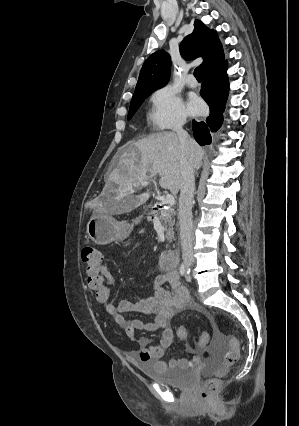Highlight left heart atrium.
Listing matches in <instances>:
<instances>
[{
	"label": "left heart atrium",
	"mask_w": 299,
	"mask_h": 426,
	"mask_svg": "<svg viewBox=\"0 0 299 426\" xmlns=\"http://www.w3.org/2000/svg\"><path fill=\"white\" fill-rule=\"evenodd\" d=\"M189 109L192 114H199L203 110V103L196 97L189 100Z\"/></svg>",
	"instance_id": "obj_1"
}]
</instances>
